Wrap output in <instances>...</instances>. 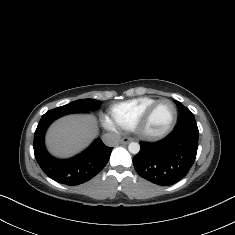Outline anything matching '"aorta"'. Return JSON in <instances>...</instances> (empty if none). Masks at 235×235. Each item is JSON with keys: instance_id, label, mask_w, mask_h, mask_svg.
<instances>
[{"instance_id": "obj_1", "label": "aorta", "mask_w": 235, "mask_h": 235, "mask_svg": "<svg viewBox=\"0 0 235 235\" xmlns=\"http://www.w3.org/2000/svg\"><path fill=\"white\" fill-rule=\"evenodd\" d=\"M128 150L131 154H137L140 151V145L137 142H130L128 145Z\"/></svg>"}]
</instances>
